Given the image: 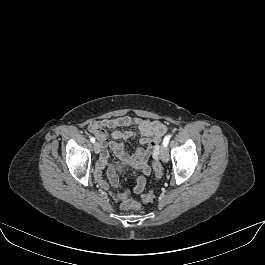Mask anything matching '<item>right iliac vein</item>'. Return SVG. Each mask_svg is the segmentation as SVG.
<instances>
[{
	"mask_svg": "<svg viewBox=\"0 0 265 265\" xmlns=\"http://www.w3.org/2000/svg\"><path fill=\"white\" fill-rule=\"evenodd\" d=\"M94 151L96 154L100 152V144L98 142L94 143Z\"/></svg>",
	"mask_w": 265,
	"mask_h": 265,
	"instance_id": "right-iliac-vein-1",
	"label": "right iliac vein"
}]
</instances>
